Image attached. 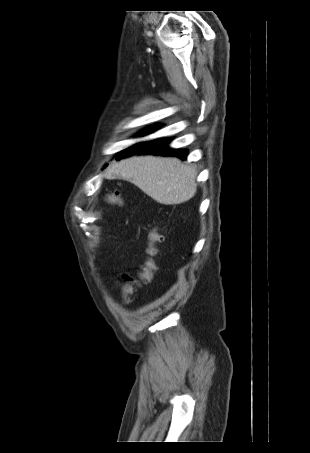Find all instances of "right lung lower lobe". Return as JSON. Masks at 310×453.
I'll list each match as a JSON object with an SVG mask.
<instances>
[{"label":"right lung lower lobe","instance_id":"obj_1","mask_svg":"<svg viewBox=\"0 0 310 453\" xmlns=\"http://www.w3.org/2000/svg\"><path fill=\"white\" fill-rule=\"evenodd\" d=\"M156 127H152L144 132L143 135L149 134L156 130ZM170 139H156L149 142H144L136 144L128 149H125L119 153L116 157L117 160L131 156V155H141V154H158V155H169L177 156L181 159H186L188 151L185 149H171L168 147Z\"/></svg>","mask_w":310,"mask_h":453}]
</instances>
